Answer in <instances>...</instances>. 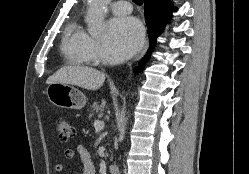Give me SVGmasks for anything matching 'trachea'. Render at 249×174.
<instances>
[{
	"label": "trachea",
	"instance_id": "trachea-1",
	"mask_svg": "<svg viewBox=\"0 0 249 174\" xmlns=\"http://www.w3.org/2000/svg\"><path fill=\"white\" fill-rule=\"evenodd\" d=\"M135 4L137 5H142L143 4V0H132Z\"/></svg>",
	"mask_w": 249,
	"mask_h": 174
}]
</instances>
